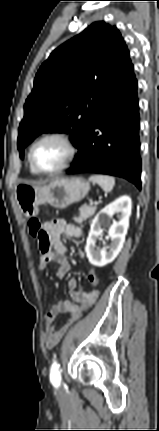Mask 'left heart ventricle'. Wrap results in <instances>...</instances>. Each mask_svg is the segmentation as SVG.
<instances>
[{
  "mask_svg": "<svg viewBox=\"0 0 159 431\" xmlns=\"http://www.w3.org/2000/svg\"><path fill=\"white\" fill-rule=\"evenodd\" d=\"M66 146L54 139L39 143L33 151V161L41 170H53L59 167L67 157Z\"/></svg>",
  "mask_w": 159,
  "mask_h": 431,
  "instance_id": "left-heart-ventricle-1",
  "label": "left heart ventricle"
}]
</instances>
